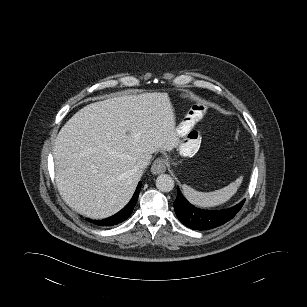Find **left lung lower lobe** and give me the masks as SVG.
Masks as SVG:
<instances>
[{
    "mask_svg": "<svg viewBox=\"0 0 307 307\" xmlns=\"http://www.w3.org/2000/svg\"><path fill=\"white\" fill-rule=\"evenodd\" d=\"M245 200L237 205L223 210H203L191 205L178 188L174 209L178 219L193 230H209L231 220L242 208Z\"/></svg>",
    "mask_w": 307,
    "mask_h": 307,
    "instance_id": "obj_1",
    "label": "left lung lower lobe"
}]
</instances>
